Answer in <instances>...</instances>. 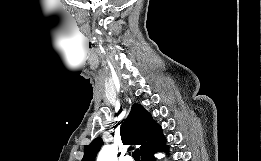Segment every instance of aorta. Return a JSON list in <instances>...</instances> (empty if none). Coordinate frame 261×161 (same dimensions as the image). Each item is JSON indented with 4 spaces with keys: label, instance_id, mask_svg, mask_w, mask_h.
<instances>
[{
    "label": "aorta",
    "instance_id": "762f6f07",
    "mask_svg": "<svg viewBox=\"0 0 261 161\" xmlns=\"http://www.w3.org/2000/svg\"><path fill=\"white\" fill-rule=\"evenodd\" d=\"M97 161H117V147L104 146L98 154Z\"/></svg>",
    "mask_w": 261,
    "mask_h": 161
}]
</instances>
